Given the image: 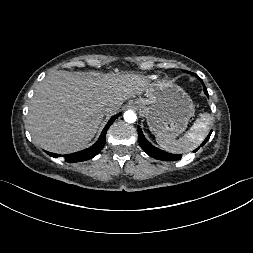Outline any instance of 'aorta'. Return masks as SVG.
Wrapping results in <instances>:
<instances>
[{
    "label": "aorta",
    "mask_w": 253,
    "mask_h": 253,
    "mask_svg": "<svg viewBox=\"0 0 253 253\" xmlns=\"http://www.w3.org/2000/svg\"><path fill=\"white\" fill-rule=\"evenodd\" d=\"M137 119V116L134 111L128 110L124 113V120L128 123H134Z\"/></svg>",
    "instance_id": "aorta-1"
}]
</instances>
